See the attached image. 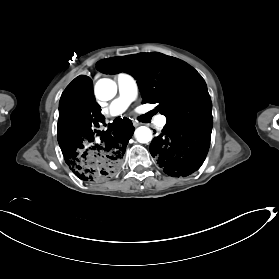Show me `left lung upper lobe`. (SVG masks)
<instances>
[{"label": "left lung upper lobe", "instance_id": "1", "mask_svg": "<svg viewBox=\"0 0 279 279\" xmlns=\"http://www.w3.org/2000/svg\"><path fill=\"white\" fill-rule=\"evenodd\" d=\"M106 74L126 72L140 88L143 103H157L167 124H212V103L198 72L184 61L162 53L118 56L97 62Z\"/></svg>", "mask_w": 279, "mask_h": 279}]
</instances>
